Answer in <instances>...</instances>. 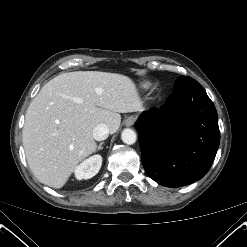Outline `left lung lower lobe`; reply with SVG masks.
<instances>
[{
    "mask_svg": "<svg viewBox=\"0 0 247 247\" xmlns=\"http://www.w3.org/2000/svg\"><path fill=\"white\" fill-rule=\"evenodd\" d=\"M135 128L146 173L167 187L201 179L220 142L215 106L194 79L176 82L166 104L145 111Z\"/></svg>",
    "mask_w": 247,
    "mask_h": 247,
    "instance_id": "1",
    "label": "left lung lower lobe"
}]
</instances>
